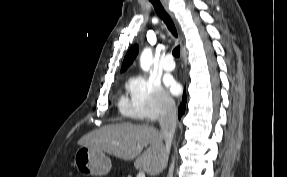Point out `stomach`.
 Masks as SVG:
<instances>
[{
	"instance_id": "1",
	"label": "stomach",
	"mask_w": 287,
	"mask_h": 177,
	"mask_svg": "<svg viewBox=\"0 0 287 177\" xmlns=\"http://www.w3.org/2000/svg\"><path fill=\"white\" fill-rule=\"evenodd\" d=\"M74 164L80 173L87 176L107 175L112 167L110 158L104 152L87 146L77 149Z\"/></svg>"
}]
</instances>
